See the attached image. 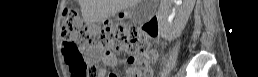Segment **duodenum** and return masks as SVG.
<instances>
[{"label":"duodenum","instance_id":"410a0bca","mask_svg":"<svg viewBox=\"0 0 258 77\" xmlns=\"http://www.w3.org/2000/svg\"><path fill=\"white\" fill-rule=\"evenodd\" d=\"M146 30L151 33L154 37H156L159 34V26H158V22L155 19H151L148 23H147V27Z\"/></svg>","mask_w":258,"mask_h":77}]
</instances>
